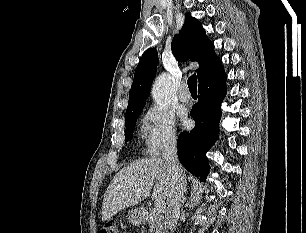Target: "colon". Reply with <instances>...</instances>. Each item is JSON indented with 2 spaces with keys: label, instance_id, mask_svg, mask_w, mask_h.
Masks as SVG:
<instances>
[{
  "label": "colon",
  "instance_id": "5ec220e1",
  "mask_svg": "<svg viewBox=\"0 0 306 233\" xmlns=\"http://www.w3.org/2000/svg\"><path fill=\"white\" fill-rule=\"evenodd\" d=\"M98 233H119V226L116 222H108L100 228Z\"/></svg>",
  "mask_w": 306,
  "mask_h": 233
}]
</instances>
